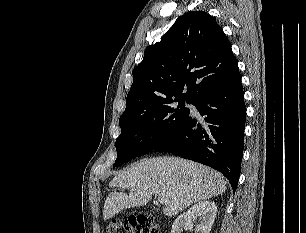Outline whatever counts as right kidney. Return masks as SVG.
Segmentation results:
<instances>
[{"label": "right kidney", "instance_id": "right-kidney-1", "mask_svg": "<svg viewBox=\"0 0 306 233\" xmlns=\"http://www.w3.org/2000/svg\"><path fill=\"white\" fill-rule=\"evenodd\" d=\"M217 214V206L211 201H200L179 215L174 221L171 233H182L192 229L193 221L198 217L199 224L194 228L195 233H210Z\"/></svg>", "mask_w": 306, "mask_h": 233}]
</instances>
